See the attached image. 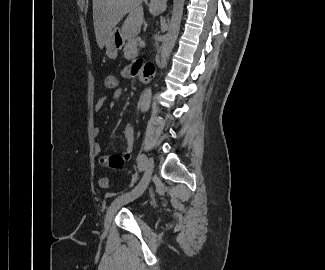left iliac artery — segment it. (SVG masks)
<instances>
[{
    "instance_id": "44dca946",
    "label": "left iliac artery",
    "mask_w": 325,
    "mask_h": 270,
    "mask_svg": "<svg viewBox=\"0 0 325 270\" xmlns=\"http://www.w3.org/2000/svg\"><path fill=\"white\" fill-rule=\"evenodd\" d=\"M145 159H146V156L144 154H141L138 158V168L140 171L142 170V168L145 164Z\"/></svg>"
}]
</instances>
